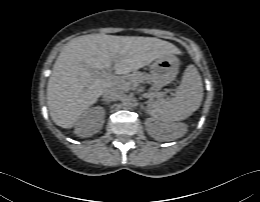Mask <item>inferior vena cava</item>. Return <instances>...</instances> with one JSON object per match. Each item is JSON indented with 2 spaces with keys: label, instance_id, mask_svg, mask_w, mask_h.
Returning <instances> with one entry per match:
<instances>
[{
  "label": "inferior vena cava",
  "instance_id": "inferior-vena-cava-1",
  "mask_svg": "<svg viewBox=\"0 0 260 202\" xmlns=\"http://www.w3.org/2000/svg\"><path fill=\"white\" fill-rule=\"evenodd\" d=\"M123 91L119 87L108 88L103 92L105 101H116L122 97Z\"/></svg>",
  "mask_w": 260,
  "mask_h": 202
}]
</instances>
